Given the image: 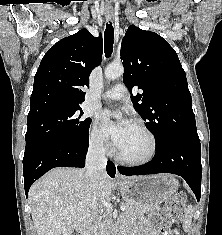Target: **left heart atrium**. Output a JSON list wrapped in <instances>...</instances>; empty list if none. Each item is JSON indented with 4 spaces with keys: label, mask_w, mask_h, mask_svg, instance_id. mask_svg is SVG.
<instances>
[{
    "label": "left heart atrium",
    "mask_w": 222,
    "mask_h": 235,
    "mask_svg": "<svg viewBox=\"0 0 222 235\" xmlns=\"http://www.w3.org/2000/svg\"><path fill=\"white\" fill-rule=\"evenodd\" d=\"M102 119L107 132L110 134L115 145L119 147L123 143L126 134L132 125L130 120L124 118L120 122L115 123L112 119V114L108 111H105L102 114Z\"/></svg>",
    "instance_id": "obj_1"
}]
</instances>
